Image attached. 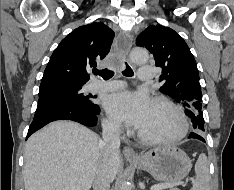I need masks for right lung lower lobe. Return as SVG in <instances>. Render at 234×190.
Instances as JSON below:
<instances>
[{
	"label": "right lung lower lobe",
	"instance_id": "obj_1",
	"mask_svg": "<svg viewBox=\"0 0 234 190\" xmlns=\"http://www.w3.org/2000/svg\"><path fill=\"white\" fill-rule=\"evenodd\" d=\"M100 109L84 108L67 102H50L36 109L26 139L46 124L56 120H72L85 126H95Z\"/></svg>",
	"mask_w": 234,
	"mask_h": 190
}]
</instances>
